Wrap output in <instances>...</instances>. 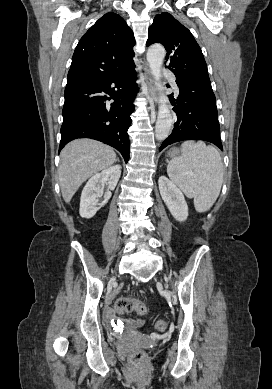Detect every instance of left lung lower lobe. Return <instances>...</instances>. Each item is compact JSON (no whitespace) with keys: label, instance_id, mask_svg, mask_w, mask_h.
Returning <instances> with one entry per match:
<instances>
[{"label":"left lung lower lobe","instance_id":"left-lung-lower-lobe-1","mask_svg":"<svg viewBox=\"0 0 272 389\" xmlns=\"http://www.w3.org/2000/svg\"><path fill=\"white\" fill-rule=\"evenodd\" d=\"M179 96L172 100L176 123L171 135L165 139L160 151L166 146L183 140H204L223 150L216 98L209 77L177 78Z\"/></svg>","mask_w":272,"mask_h":389}]
</instances>
